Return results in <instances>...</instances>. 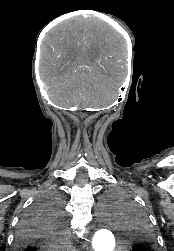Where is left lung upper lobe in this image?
Listing matches in <instances>:
<instances>
[{
  "label": "left lung upper lobe",
  "mask_w": 174,
  "mask_h": 251,
  "mask_svg": "<svg viewBox=\"0 0 174 251\" xmlns=\"http://www.w3.org/2000/svg\"><path fill=\"white\" fill-rule=\"evenodd\" d=\"M126 217L133 227L129 236L130 251H157L158 244L145 216L132 204L126 205Z\"/></svg>",
  "instance_id": "left-lung-upper-lobe-1"
}]
</instances>
